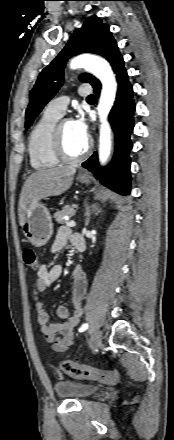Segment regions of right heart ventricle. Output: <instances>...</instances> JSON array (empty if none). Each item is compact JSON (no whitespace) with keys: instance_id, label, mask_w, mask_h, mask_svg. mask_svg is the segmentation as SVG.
Here are the masks:
<instances>
[{"instance_id":"right-heart-ventricle-1","label":"right heart ventricle","mask_w":174,"mask_h":440,"mask_svg":"<svg viewBox=\"0 0 174 440\" xmlns=\"http://www.w3.org/2000/svg\"><path fill=\"white\" fill-rule=\"evenodd\" d=\"M59 117L45 110L30 131L28 153L30 164L36 170L53 168L61 162L53 151L54 129Z\"/></svg>"}]
</instances>
